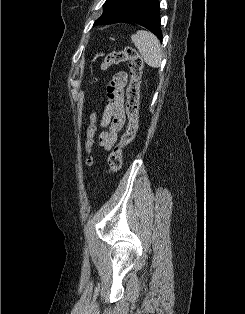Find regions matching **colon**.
Here are the masks:
<instances>
[{
	"label": "colon",
	"mask_w": 245,
	"mask_h": 314,
	"mask_svg": "<svg viewBox=\"0 0 245 314\" xmlns=\"http://www.w3.org/2000/svg\"><path fill=\"white\" fill-rule=\"evenodd\" d=\"M128 62L130 70V82L127 89V116L128 125L121 136L119 143L113 148L109 157L107 175L120 170L122 166L123 149L129 145L135 138L138 129V108L140 100V85L144 62L140 54L132 47H127L120 51H114L108 54L103 62L102 68L109 69L111 66ZM96 131V115L90 116V123L87 128V139L85 148L87 152L86 163L92 164L91 150L94 144V134Z\"/></svg>",
	"instance_id": "5ec220e1"
}]
</instances>
